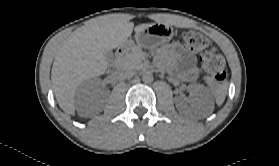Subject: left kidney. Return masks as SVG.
I'll list each match as a JSON object with an SVG mask.
<instances>
[{
    "label": "left kidney",
    "instance_id": "obj_1",
    "mask_svg": "<svg viewBox=\"0 0 279 166\" xmlns=\"http://www.w3.org/2000/svg\"><path fill=\"white\" fill-rule=\"evenodd\" d=\"M188 89L190 92L188 99H185L183 96L175 97V105L179 112H187L190 106L202 109L212 103L211 94L205 86L201 84H190Z\"/></svg>",
    "mask_w": 279,
    "mask_h": 166
}]
</instances>
